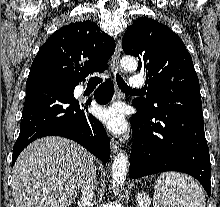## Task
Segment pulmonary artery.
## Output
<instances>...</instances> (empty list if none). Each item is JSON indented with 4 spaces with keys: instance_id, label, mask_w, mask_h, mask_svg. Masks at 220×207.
I'll return each mask as SVG.
<instances>
[{
    "instance_id": "1",
    "label": "pulmonary artery",
    "mask_w": 220,
    "mask_h": 207,
    "mask_svg": "<svg viewBox=\"0 0 220 207\" xmlns=\"http://www.w3.org/2000/svg\"><path fill=\"white\" fill-rule=\"evenodd\" d=\"M130 88L132 89H142L145 87V80L142 77L139 76H133L130 79Z\"/></svg>"
}]
</instances>
